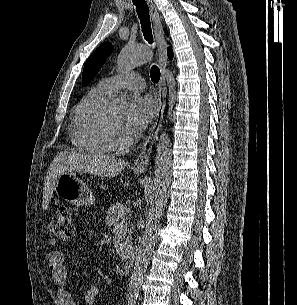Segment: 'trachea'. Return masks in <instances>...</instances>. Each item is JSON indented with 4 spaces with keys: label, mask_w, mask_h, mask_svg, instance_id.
Listing matches in <instances>:
<instances>
[{
    "label": "trachea",
    "mask_w": 297,
    "mask_h": 305,
    "mask_svg": "<svg viewBox=\"0 0 297 305\" xmlns=\"http://www.w3.org/2000/svg\"><path fill=\"white\" fill-rule=\"evenodd\" d=\"M133 4L136 6L137 15L141 22L142 32L144 38L152 43V31H151V24H150V17H149V8L145 0H132ZM151 80L154 83H157L160 79V70L156 65L151 67L150 73Z\"/></svg>",
    "instance_id": "obj_1"
}]
</instances>
